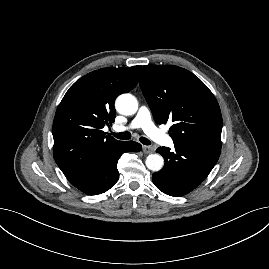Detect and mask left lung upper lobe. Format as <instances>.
Masks as SVG:
<instances>
[{
  "label": "left lung upper lobe",
  "mask_w": 269,
  "mask_h": 269,
  "mask_svg": "<svg viewBox=\"0 0 269 269\" xmlns=\"http://www.w3.org/2000/svg\"><path fill=\"white\" fill-rule=\"evenodd\" d=\"M140 87L157 124L172 120L174 145L221 149L222 116L209 88L190 71L174 66H143Z\"/></svg>",
  "instance_id": "1"
}]
</instances>
